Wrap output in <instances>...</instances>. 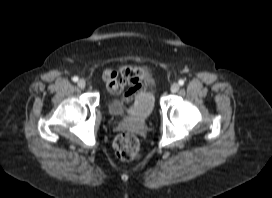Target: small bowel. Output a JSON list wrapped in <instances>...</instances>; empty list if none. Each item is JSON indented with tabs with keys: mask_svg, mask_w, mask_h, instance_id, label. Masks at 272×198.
<instances>
[{
	"mask_svg": "<svg viewBox=\"0 0 272 198\" xmlns=\"http://www.w3.org/2000/svg\"><path fill=\"white\" fill-rule=\"evenodd\" d=\"M105 80L111 94H120L127 87L121 98L125 103L147 95L146 90L151 83L150 73L146 67L130 64H122L117 70H112Z\"/></svg>",
	"mask_w": 272,
	"mask_h": 198,
	"instance_id": "obj_1",
	"label": "small bowel"
}]
</instances>
